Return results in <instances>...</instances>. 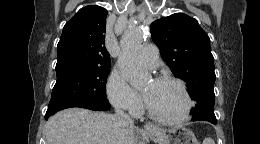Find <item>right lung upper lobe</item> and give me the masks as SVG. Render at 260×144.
<instances>
[{"instance_id":"right-lung-upper-lobe-1","label":"right lung upper lobe","mask_w":260,"mask_h":144,"mask_svg":"<svg viewBox=\"0 0 260 144\" xmlns=\"http://www.w3.org/2000/svg\"><path fill=\"white\" fill-rule=\"evenodd\" d=\"M107 10L91 5L81 8L64 26L58 43L56 68L110 67L104 46Z\"/></svg>"}]
</instances>
